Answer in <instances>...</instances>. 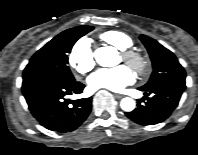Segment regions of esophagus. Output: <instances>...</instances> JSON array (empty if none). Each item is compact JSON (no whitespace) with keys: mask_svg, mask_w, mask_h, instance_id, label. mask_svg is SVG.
Returning <instances> with one entry per match:
<instances>
[{"mask_svg":"<svg viewBox=\"0 0 198 155\" xmlns=\"http://www.w3.org/2000/svg\"><path fill=\"white\" fill-rule=\"evenodd\" d=\"M115 97H116L117 99H121V98L124 97V95H122V94H115Z\"/></svg>","mask_w":198,"mask_h":155,"instance_id":"obj_1","label":"esophagus"}]
</instances>
